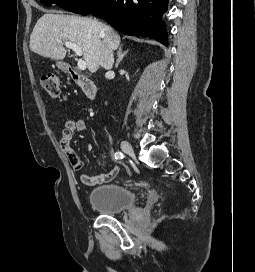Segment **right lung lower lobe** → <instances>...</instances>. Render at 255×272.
I'll list each match as a JSON object with an SVG mask.
<instances>
[{"label": "right lung lower lobe", "mask_w": 255, "mask_h": 272, "mask_svg": "<svg viewBox=\"0 0 255 272\" xmlns=\"http://www.w3.org/2000/svg\"><path fill=\"white\" fill-rule=\"evenodd\" d=\"M168 0H101L90 12L103 18L125 35L148 36L167 43L165 24L161 16ZM89 13V14H90Z\"/></svg>", "instance_id": "1"}]
</instances>
